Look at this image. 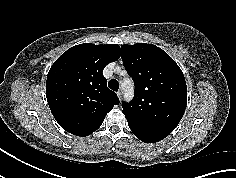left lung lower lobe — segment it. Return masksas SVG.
I'll return each mask as SVG.
<instances>
[{"label": "left lung lower lobe", "instance_id": "left-lung-lower-lobe-1", "mask_svg": "<svg viewBox=\"0 0 236 178\" xmlns=\"http://www.w3.org/2000/svg\"><path fill=\"white\" fill-rule=\"evenodd\" d=\"M131 131L136 135L141 141L145 143L158 142L166 137V135L145 131L139 128L130 127Z\"/></svg>", "mask_w": 236, "mask_h": 178}]
</instances>
